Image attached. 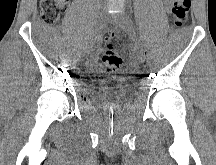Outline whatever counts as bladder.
Listing matches in <instances>:
<instances>
[{"label": "bladder", "instance_id": "bladder-1", "mask_svg": "<svg viewBox=\"0 0 216 165\" xmlns=\"http://www.w3.org/2000/svg\"><path fill=\"white\" fill-rule=\"evenodd\" d=\"M93 80L94 89H88V94H98L104 100L111 102L129 93L123 86H129L130 76H94Z\"/></svg>", "mask_w": 216, "mask_h": 165}]
</instances>
